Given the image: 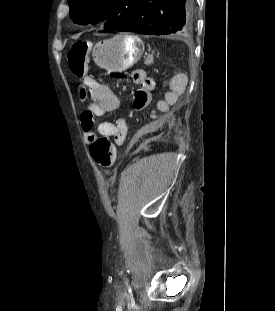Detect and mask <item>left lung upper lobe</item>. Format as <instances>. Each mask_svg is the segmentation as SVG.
I'll return each instance as SVG.
<instances>
[{
  "instance_id": "1",
  "label": "left lung upper lobe",
  "mask_w": 275,
  "mask_h": 311,
  "mask_svg": "<svg viewBox=\"0 0 275 311\" xmlns=\"http://www.w3.org/2000/svg\"><path fill=\"white\" fill-rule=\"evenodd\" d=\"M141 0H68L74 23L96 24L104 20L107 31H116L136 13Z\"/></svg>"
}]
</instances>
